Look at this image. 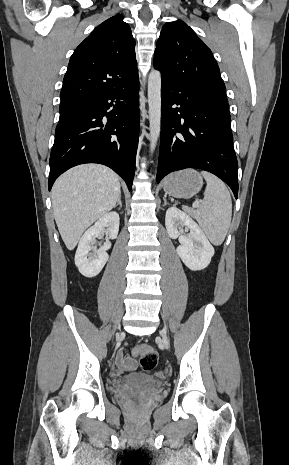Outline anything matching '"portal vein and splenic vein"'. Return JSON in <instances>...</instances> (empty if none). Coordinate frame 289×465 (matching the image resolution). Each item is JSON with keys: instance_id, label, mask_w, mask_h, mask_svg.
<instances>
[{"instance_id": "1", "label": "portal vein and splenic vein", "mask_w": 289, "mask_h": 465, "mask_svg": "<svg viewBox=\"0 0 289 465\" xmlns=\"http://www.w3.org/2000/svg\"><path fill=\"white\" fill-rule=\"evenodd\" d=\"M198 206H199V202H198V201H195V202L193 203V207L196 208V207H198Z\"/></svg>"}]
</instances>
